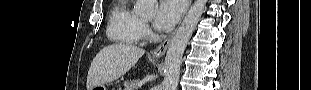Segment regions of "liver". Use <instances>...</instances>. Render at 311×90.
Returning a JSON list of instances; mask_svg holds the SVG:
<instances>
[{"instance_id":"1","label":"liver","mask_w":311,"mask_h":90,"mask_svg":"<svg viewBox=\"0 0 311 90\" xmlns=\"http://www.w3.org/2000/svg\"><path fill=\"white\" fill-rule=\"evenodd\" d=\"M145 50L130 44L106 46L93 59L87 76V90L117 80L144 55Z\"/></svg>"}]
</instances>
